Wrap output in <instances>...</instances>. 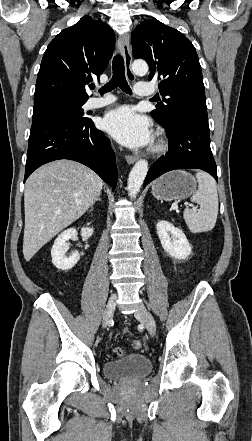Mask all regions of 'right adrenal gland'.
Masks as SVG:
<instances>
[{
    "mask_svg": "<svg viewBox=\"0 0 252 441\" xmlns=\"http://www.w3.org/2000/svg\"><path fill=\"white\" fill-rule=\"evenodd\" d=\"M96 201H101L100 195L97 196V198L95 199L94 203H95ZM92 207H93V205H92Z\"/></svg>",
    "mask_w": 252,
    "mask_h": 441,
    "instance_id": "1",
    "label": "right adrenal gland"
}]
</instances>
